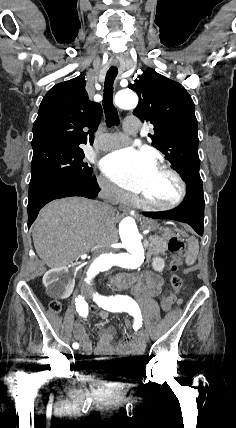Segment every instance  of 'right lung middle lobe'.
Returning <instances> with one entry per match:
<instances>
[{
  "label": "right lung middle lobe",
  "mask_w": 236,
  "mask_h": 428,
  "mask_svg": "<svg viewBox=\"0 0 236 428\" xmlns=\"http://www.w3.org/2000/svg\"><path fill=\"white\" fill-rule=\"evenodd\" d=\"M83 144L46 145L33 149L29 186L59 178L91 177L92 168L84 161Z\"/></svg>",
  "instance_id": "right-lung-middle-lobe-1"
}]
</instances>
